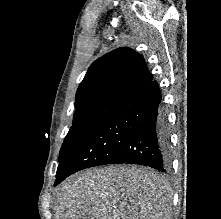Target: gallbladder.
<instances>
[{"label":"gallbladder","mask_w":221,"mask_h":219,"mask_svg":"<svg viewBox=\"0 0 221 219\" xmlns=\"http://www.w3.org/2000/svg\"><path fill=\"white\" fill-rule=\"evenodd\" d=\"M82 219H93V217L90 214H86Z\"/></svg>","instance_id":"1"}]
</instances>
